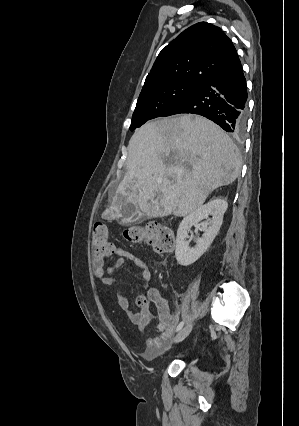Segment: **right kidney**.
Wrapping results in <instances>:
<instances>
[{
  "mask_svg": "<svg viewBox=\"0 0 299 426\" xmlns=\"http://www.w3.org/2000/svg\"><path fill=\"white\" fill-rule=\"evenodd\" d=\"M227 208L226 200L215 198L184 217L179 225L176 237L175 257L180 265L189 266L193 264L207 251L220 230ZM209 215L212 216V219H209ZM203 219H206L201 227L204 233L201 238H198L196 245L190 248L186 241L188 232L193 225Z\"/></svg>",
  "mask_w": 299,
  "mask_h": 426,
  "instance_id": "obj_1",
  "label": "right kidney"
}]
</instances>
